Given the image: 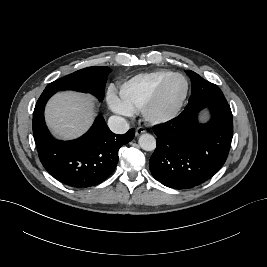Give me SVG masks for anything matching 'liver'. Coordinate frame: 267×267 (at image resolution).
I'll return each mask as SVG.
<instances>
[{
	"label": "liver",
	"mask_w": 267,
	"mask_h": 267,
	"mask_svg": "<svg viewBox=\"0 0 267 267\" xmlns=\"http://www.w3.org/2000/svg\"><path fill=\"white\" fill-rule=\"evenodd\" d=\"M95 117L94 99L75 92H59L48 102L45 119L50 130L63 139L84 134Z\"/></svg>",
	"instance_id": "liver-1"
}]
</instances>
